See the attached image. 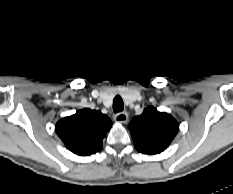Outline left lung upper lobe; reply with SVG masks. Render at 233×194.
Segmentation results:
<instances>
[{
  "label": "left lung upper lobe",
  "instance_id": "5c2ea615",
  "mask_svg": "<svg viewBox=\"0 0 233 194\" xmlns=\"http://www.w3.org/2000/svg\"><path fill=\"white\" fill-rule=\"evenodd\" d=\"M129 129L136 150L153 155L168 147L178 132V123L169 114L149 106L140 116L133 118Z\"/></svg>",
  "mask_w": 233,
  "mask_h": 194
}]
</instances>
